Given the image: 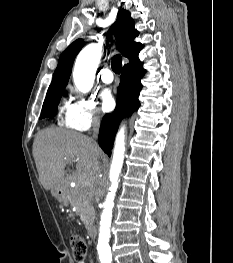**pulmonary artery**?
Listing matches in <instances>:
<instances>
[{
    "mask_svg": "<svg viewBox=\"0 0 233 263\" xmlns=\"http://www.w3.org/2000/svg\"><path fill=\"white\" fill-rule=\"evenodd\" d=\"M101 80L106 83V84H110L113 82L114 80V76L112 71L109 68H104L101 71Z\"/></svg>",
    "mask_w": 233,
    "mask_h": 263,
    "instance_id": "e3ab8cb5",
    "label": "pulmonary artery"
}]
</instances>
